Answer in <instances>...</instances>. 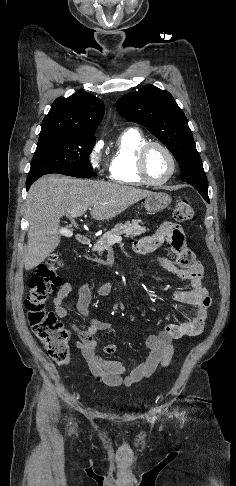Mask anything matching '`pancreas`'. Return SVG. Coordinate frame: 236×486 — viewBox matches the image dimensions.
<instances>
[{
	"label": "pancreas",
	"instance_id": "cf45deb5",
	"mask_svg": "<svg viewBox=\"0 0 236 486\" xmlns=\"http://www.w3.org/2000/svg\"><path fill=\"white\" fill-rule=\"evenodd\" d=\"M139 223V220H132L131 223L117 224L94 244L92 250L102 255L105 250L110 249L116 243L113 240L114 237L125 235V237L133 238L146 233V228L142 227Z\"/></svg>",
	"mask_w": 236,
	"mask_h": 486
}]
</instances>
